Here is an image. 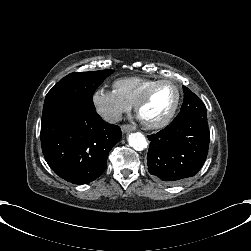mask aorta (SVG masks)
Returning <instances> with one entry per match:
<instances>
[{
    "mask_svg": "<svg viewBox=\"0 0 251 251\" xmlns=\"http://www.w3.org/2000/svg\"><path fill=\"white\" fill-rule=\"evenodd\" d=\"M127 142L135 150H142L146 147V139L141 132L129 134Z\"/></svg>",
    "mask_w": 251,
    "mask_h": 251,
    "instance_id": "762f6f07",
    "label": "aorta"
}]
</instances>
